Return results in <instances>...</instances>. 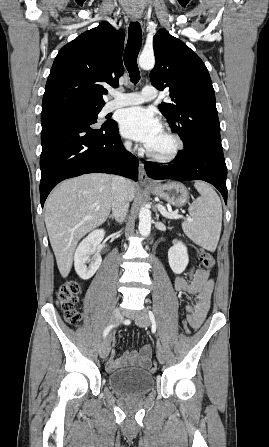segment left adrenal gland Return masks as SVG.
Returning <instances> with one entry per match:
<instances>
[{
	"label": "left adrenal gland",
	"instance_id": "a2214340",
	"mask_svg": "<svg viewBox=\"0 0 269 447\" xmlns=\"http://www.w3.org/2000/svg\"><path fill=\"white\" fill-rule=\"evenodd\" d=\"M156 218H159V214H157V210H156Z\"/></svg>",
	"mask_w": 269,
	"mask_h": 447
}]
</instances>
